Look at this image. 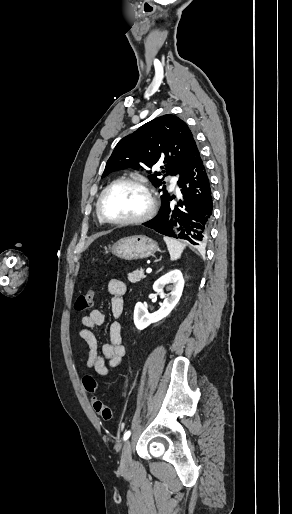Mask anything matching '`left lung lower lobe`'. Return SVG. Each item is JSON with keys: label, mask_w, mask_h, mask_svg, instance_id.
<instances>
[{"label": "left lung lower lobe", "mask_w": 292, "mask_h": 514, "mask_svg": "<svg viewBox=\"0 0 292 514\" xmlns=\"http://www.w3.org/2000/svg\"><path fill=\"white\" fill-rule=\"evenodd\" d=\"M181 199L169 193L162 197L158 214L144 226L166 236L185 239L198 247L203 246L209 235L213 214V197L205 165L194 140L188 162L179 176Z\"/></svg>", "instance_id": "1"}]
</instances>
